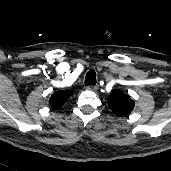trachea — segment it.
Returning a JSON list of instances; mask_svg holds the SVG:
<instances>
[{
    "label": "trachea",
    "mask_w": 171,
    "mask_h": 171,
    "mask_svg": "<svg viewBox=\"0 0 171 171\" xmlns=\"http://www.w3.org/2000/svg\"><path fill=\"white\" fill-rule=\"evenodd\" d=\"M96 84V72L93 69H90L85 77V85H95Z\"/></svg>",
    "instance_id": "trachea-1"
}]
</instances>
